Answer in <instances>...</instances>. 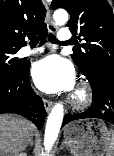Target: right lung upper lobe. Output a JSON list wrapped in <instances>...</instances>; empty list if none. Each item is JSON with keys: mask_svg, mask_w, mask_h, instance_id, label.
<instances>
[{"mask_svg": "<svg viewBox=\"0 0 114 156\" xmlns=\"http://www.w3.org/2000/svg\"><path fill=\"white\" fill-rule=\"evenodd\" d=\"M45 16L41 0H0V48L19 50L27 32L46 29Z\"/></svg>", "mask_w": 114, "mask_h": 156, "instance_id": "obj_1", "label": "right lung upper lobe"}]
</instances>
